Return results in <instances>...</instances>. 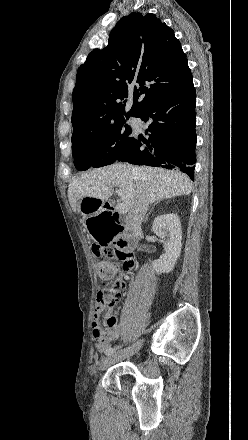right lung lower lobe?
<instances>
[{"mask_svg":"<svg viewBox=\"0 0 248 440\" xmlns=\"http://www.w3.org/2000/svg\"><path fill=\"white\" fill-rule=\"evenodd\" d=\"M195 105L192 80L144 103L133 116L141 118L148 127L146 137H131L127 151L117 161L176 168L194 180Z\"/></svg>","mask_w":248,"mask_h":440,"instance_id":"98d812e1","label":"right lung lower lobe"}]
</instances>
